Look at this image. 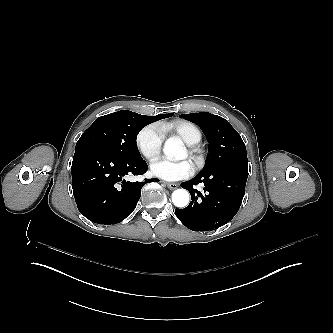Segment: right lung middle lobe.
<instances>
[{
  "label": "right lung middle lobe",
  "instance_id": "1",
  "mask_svg": "<svg viewBox=\"0 0 333 333\" xmlns=\"http://www.w3.org/2000/svg\"><path fill=\"white\" fill-rule=\"evenodd\" d=\"M172 115V113L163 114L159 120ZM152 122L155 121L149 116L128 110L101 116L82 134L76 145H99L118 157L141 159L136 138L139 131Z\"/></svg>",
  "mask_w": 333,
  "mask_h": 333
}]
</instances>
